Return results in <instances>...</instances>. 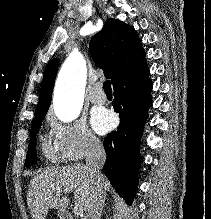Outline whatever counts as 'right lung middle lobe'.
Wrapping results in <instances>:
<instances>
[{
    "label": "right lung middle lobe",
    "mask_w": 211,
    "mask_h": 219,
    "mask_svg": "<svg viewBox=\"0 0 211 219\" xmlns=\"http://www.w3.org/2000/svg\"><path fill=\"white\" fill-rule=\"evenodd\" d=\"M44 114L37 115L32 122L31 126V139H30V145L27 152L26 160H25V166L30 167L36 162V150H35V138L36 134L38 132V129L40 128L42 124V120L44 119Z\"/></svg>",
    "instance_id": "dd1d6c3e"
}]
</instances>
